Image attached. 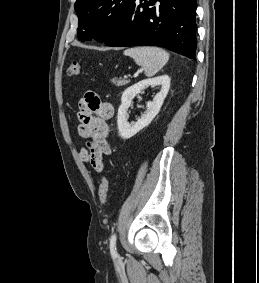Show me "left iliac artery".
<instances>
[{
  "mask_svg": "<svg viewBox=\"0 0 259 283\" xmlns=\"http://www.w3.org/2000/svg\"><path fill=\"white\" fill-rule=\"evenodd\" d=\"M116 234H113L111 239H110V252L112 256H117L116 252Z\"/></svg>",
  "mask_w": 259,
  "mask_h": 283,
  "instance_id": "left-iliac-artery-1",
  "label": "left iliac artery"
}]
</instances>
